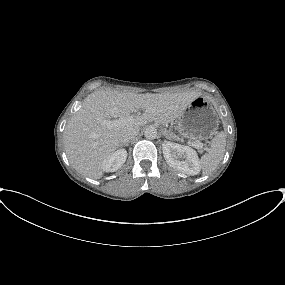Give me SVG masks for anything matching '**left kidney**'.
<instances>
[{"label": "left kidney", "instance_id": "obj_1", "mask_svg": "<svg viewBox=\"0 0 285 285\" xmlns=\"http://www.w3.org/2000/svg\"><path fill=\"white\" fill-rule=\"evenodd\" d=\"M162 150L166 162L174 169L187 175L199 174V158L196 151L191 147L164 141Z\"/></svg>", "mask_w": 285, "mask_h": 285}]
</instances>
